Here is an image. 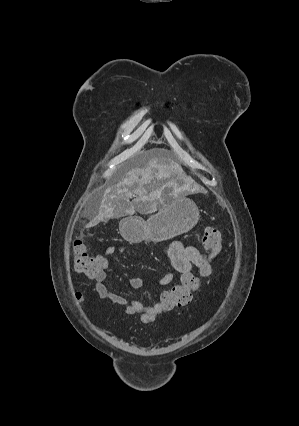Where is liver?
<instances>
[{"label": "liver", "instance_id": "liver-1", "mask_svg": "<svg viewBox=\"0 0 299 426\" xmlns=\"http://www.w3.org/2000/svg\"><path fill=\"white\" fill-rule=\"evenodd\" d=\"M174 176L184 177L181 166L163 149L154 150L142 168H132L116 184L103 193L98 214L87 228L104 219L132 215L136 210L154 212L164 202L163 190L174 182ZM134 195L137 197L130 202Z\"/></svg>", "mask_w": 299, "mask_h": 426}]
</instances>
